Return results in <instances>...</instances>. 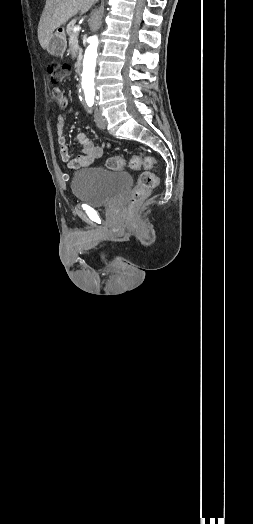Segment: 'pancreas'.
Masks as SVG:
<instances>
[{
  "instance_id": "obj_1",
  "label": "pancreas",
  "mask_w": 253,
  "mask_h": 524,
  "mask_svg": "<svg viewBox=\"0 0 253 524\" xmlns=\"http://www.w3.org/2000/svg\"><path fill=\"white\" fill-rule=\"evenodd\" d=\"M76 19L71 20L66 27V32L69 36H78V32H74L73 29L75 27Z\"/></svg>"
}]
</instances>
